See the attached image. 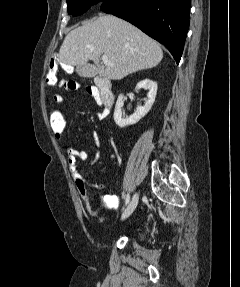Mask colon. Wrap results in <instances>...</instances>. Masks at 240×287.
Here are the masks:
<instances>
[{
	"mask_svg": "<svg viewBox=\"0 0 240 287\" xmlns=\"http://www.w3.org/2000/svg\"><path fill=\"white\" fill-rule=\"evenodd\" d=\"M57 71H58V62L55 57H52L48 64V73L46 77V82L49 85H58L59 87H62L66 90H77L80 88V85L72 80H58L57 78ZM49 124L54 132L55 135H61L66 127V119L64 114L56 109L53 108L49 111L48 115ZM76 185L77 188L82 196V199L85 203L87 211L96 219L99 221H102L103 218L98 214V212L95 209V206L91 202V200L88 197L86 185L82 178L77 177L76 178Z\"/></svg>",
	"mask_w": 240,
	"mask_h": 287,
	"instance_id": "colon-1",
	"label": "colon"
}]
</instances>
